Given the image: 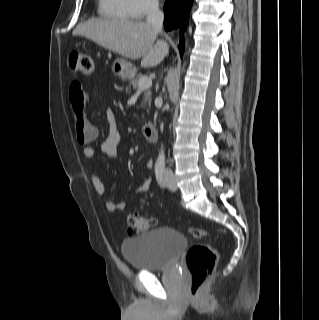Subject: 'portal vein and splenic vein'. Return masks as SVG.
I'll return each mask as SVG.
<instances>
[{
    "label": "portal vein and splenic vein",
    "mask_w": 319,
    "mask_h": 320,
    "mask_svg": "<svg viewBox=\"0 0 319 320\" xmlns=\"http://www.w3.org/2000/svg\"><path fill=\"white\" fill-rule=\"evenodd\" d=\"M151 85H152V79L146 76L142 77L138 82L139 89H147L151 87Z\"/></svg>",
    "instance_id": "18ae733b"
}]
</instances>
